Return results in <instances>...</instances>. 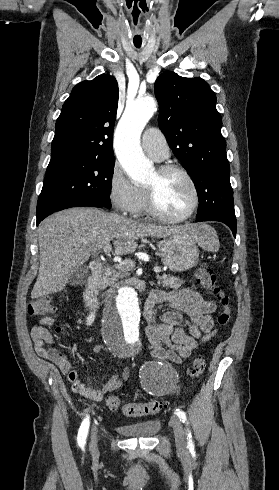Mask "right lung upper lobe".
I'll return each mask as SVG.
<instances>
[{
    "mask_svg": "<svg viewBox=\"0 0 279 490\" xmlns=\"http://www.w3.org/2000/svg\"><path fill=\"white\" fill-rule=\"evenodd\" d=\"M118 94L116 79L106 74L73 88L55 125L50 163L113 154Z\"/></svg>",
    "mask_w": 279,
    "mask_h": 490,
    "instance_id": "obj_1",
    "label": "right lung upper lobe"
}]
</instances>
